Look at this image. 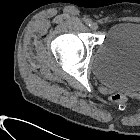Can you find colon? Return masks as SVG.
Returning <instances> with one entry per match:
<instances>
[{
  "mask_svg": "<svg viewBox=\"0 0 140 140\" xmlns=\"http://www.w3.org/2000/svg\"><path fill=\"white\" fill-rule=\"evenodd\" d=\"M110 99L116 104H123L127 101V96L123 93H114L111 95Z\"/></svg>",
  "mask_w": 140,
  "mask_h": 140,
  "instance_id": "obj_1",
  "label": "colon"
}]
</instances>
